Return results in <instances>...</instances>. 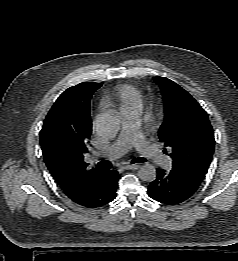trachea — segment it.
<instances>
[{
  "instance_id": "3493384b",
  "label": "trachea",
  "mask_w": 238,
  "mask_h": 261,
  "mask_svg": "<svg viewBox=\"0 0 238 261\" xmlns=\"http://www.w3.org/2000/svg\"><path fill=\"white\" fill-rule=\"evenodd\" d=\"M147 160L145 158H142V157H138V158H134L131 163H143V162H146ZM98 165L101 167V168H104V169H110L112 167V163L109 162V161H100L98 162Z\"/></svg>"
}]
</instances>
